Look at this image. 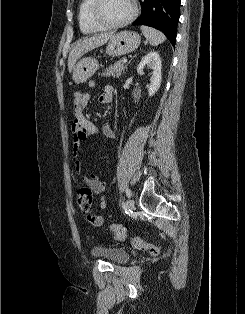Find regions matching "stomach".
<instances>
[{
	"label": "stomach",
	"instance_id": "obj_1",
	"mask_svg": "<svg viewBox=\"0 0 245 314\" xmlns=\"http://www.w3.org/2000/svg\"><path fill=\"white\" fill-rule=\"evenodd\" d=\"M140 36L134 31H121L114 34L106 47V53L110 56H121L138 48ZM98 61L94 58H83L73 71V80L80 84L86 82L98 70Z\"/></svg>",
	"mask_w": 245,
	"mask_h": 314
}]
</instances>
